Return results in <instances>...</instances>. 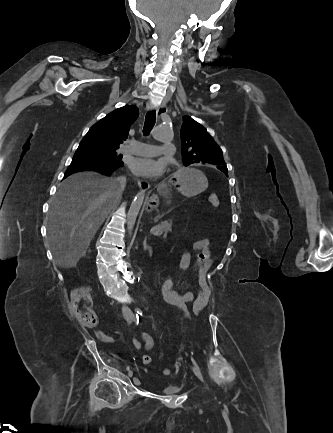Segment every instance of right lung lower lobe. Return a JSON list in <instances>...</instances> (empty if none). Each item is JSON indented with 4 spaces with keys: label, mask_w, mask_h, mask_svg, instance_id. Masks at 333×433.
<instances>
[{
    "label": "right lung lower lobe",
    "mask_w": 333,
    "mask_h": 433,
    "mask_svg": "<svg viewBox=\"0 0 333 433\" xmlns=\"http://www.w3.org/2000/svg\"><path fill=\"white\" fill-rule=\"evenodd\" d=\"M124 166L121 160L118 163H108L104 161H98L93 159H72L70 166L65 172L64 178L72 173L82 170H96L102 174L110 175L113 171Z\"/></svg>",
    "instance_id": "1"
}]
</instances>
